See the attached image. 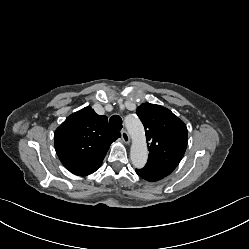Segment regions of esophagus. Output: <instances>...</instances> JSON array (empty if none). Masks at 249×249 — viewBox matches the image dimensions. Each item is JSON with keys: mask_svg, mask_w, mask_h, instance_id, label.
<instances>
[{"mask_svg": "<svg viewBox=\"0 0 249 249\" xmlns=\"http://www.w3.org/2000/svg\"><path fill=\"white\" fill-rule=\"evenodd\" d=\"M121 137H122V140H123L124 143H126V144H129V143H130L131 139H130V136H129V134L127 133L126 130H122V131H121Z\"/></svg>", "mask_w": 249, "mask_h": 249, "instance_id": "esophagus-1", "label": "esophagus"}]
</instances>
